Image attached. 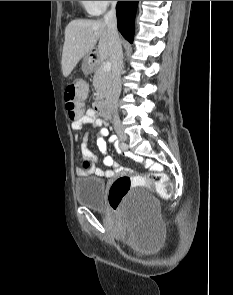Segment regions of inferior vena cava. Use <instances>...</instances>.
Returning <instances> with one entry per match:
<instances>
[{
	"label": "inferior vena cava",
	"instance_id": "1",
	"mask_svg": "<svg viewBox=\"0 0 233 295\" xmlns=\"http://www.w3.org/2000/svg\"><path fill=\"white\" fill-rule=\"evenodd\" d=\"M116 2L112 1L111 9L104 15V22L109 31V57L112 63L111 90L106 104L114 113L117 111V102L121 92V72L124 67L122 46L117 31Z\"/></svg>",
	"mask_w": 233,
	"mask_h": 295
}]
</instances>
